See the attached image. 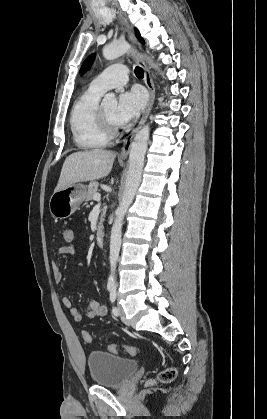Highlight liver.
I'll use <instances>...</instances> for the list:
<instances>
[{
    "label": "liver",
    "mask_w": 267,
    "mask_h": 419,
    "mask_svg": "<svg viewBox=\"0 0 267 419\" xmlns=\"http://www.w3.org/2000/svg\"><path fill=\"white\" fill-rule=\"evenodd\" d=\"M116 153L93 149L70 154L64 161L55 191L67 188L73 183L93 181L109 175Z\"/></svg>",
    "instance_id": "6515ba94"
}]
</instances>
